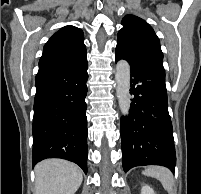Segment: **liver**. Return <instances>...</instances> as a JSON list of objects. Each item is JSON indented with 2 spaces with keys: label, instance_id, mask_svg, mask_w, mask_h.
Segmentation results:
<instances>
[{
  "label": "liver",
  "instance_id": "obj_1",
  "mask_svg": "<svg viewBox=\"0 0 201 194\" xmlns=\"http://www.w3.org/2000/svg\"><path fill=\"white\" fill-rule=\"evenodd\" d=\"M35 194H74L83 176L74 163L47 159L35 166Z\"/></svg>",
  "mask_w": 201,
  "mask_h": 194
}]
</instances>
